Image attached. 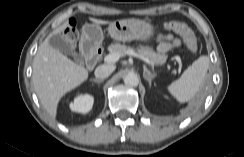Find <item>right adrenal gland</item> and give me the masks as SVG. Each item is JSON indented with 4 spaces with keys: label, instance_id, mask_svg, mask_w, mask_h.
<instances>
[{
    "label": "right adrenal gland",
    "instance_id": "1",
    "mask_svg": "<svg viewBox=\"0 0 244 157\" xmlns=\"http://www.w3.org/2000/svg\"><path fill=\"white\" fill-rule=\"evenodd\" d=\"M91 81L96 82V83H102L104 80L103 79H91Z\"/></svg>",
    "mask_w": 244,
    "mask_h": 157
}]
</instances>
